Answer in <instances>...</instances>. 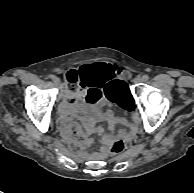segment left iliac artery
Listing matches in <instances>:
<instances>
[{"mask_svg": "<svg viewBox=\"0 0 194 193\" xmlns=\"http://www.w3.org/2000/svg\"><path fill=\"white\" fill-rule=\"evenodd\" d=\"M143 81H147L149 79V76L148 75H143Z\"/></svg>", "mask_w": 194, "mask_h": 193, "instance_id": "left-iliac-artery-1", "label": "left iliac artery"}]
</instances>
